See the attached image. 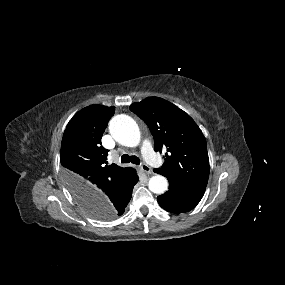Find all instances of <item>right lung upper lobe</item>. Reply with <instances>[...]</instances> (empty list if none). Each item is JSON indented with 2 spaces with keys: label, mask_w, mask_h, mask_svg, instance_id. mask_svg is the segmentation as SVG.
I'll use <instances>...</instances> for the list:
<instances>
[{
  "label": "right lung upper lobe",
  "mask_w": 285,
  "mask_h": 285,
  "mask_svg": "<svg viewBox=\"0 0 285 285\" xmlns=\"http://www.w3.org/2000/svg\"><path fill=\"white\" fill-rule=\"evenodd\" d=\"M114 112V107L91 105L79 111L66 126L60 160L68 186L81 205L105 195L132 171L115 164L105 165L108 150L101 145V138Z\"/></svg>",
  "instance_id": "cb5924a9"
}]
</instances>
